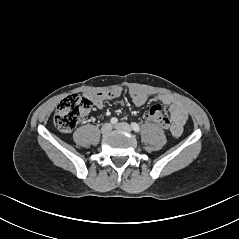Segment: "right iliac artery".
Wrapping results in <instances>:
<instances>
[{
	"mask_svg": "<svg viewBox=\"0 0 239 239\" xmlns=\"http://www.w3.org/2000/svg\"><path fill=\"white\" fill-rule=\"evenodd\" d=\"M110 122L112 124H116L118 122V119L116 117L111 118Z\"/></svg>",
	"mask_w": 239,
	"mask_h": 239,
	"instance_id": "right-iliac-artery-1",
	"label": "right iliac artery"
}]
</instances>
